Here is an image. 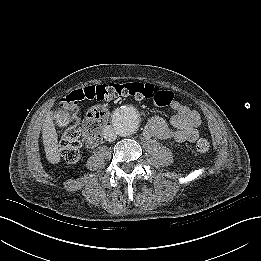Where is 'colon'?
<instances>
[{
    "mask_svg": "<svg viewBox=\"0 0 261 261\" xmlns=\"http://www.w3.org/2000/svg\"><path fill=\"white\" fill-rule=\"evenodd\" d=\"M133 97L135 99H153L159 106H167L173 99L172 93L160 90L150 83L124 82L107 83L89 86L69 94L62 103V108L72 116L66 127L60 144L62 158L70 164H75L80 159L82 127L74 116L77 105L85 99L96 101H110L120 97ZM108 118V111L103 105L93 106L85 119L84 140L89 146L96 145L100 140L101 129ZM210 143L207 138L200 137L196 148L200 152L208 151Z\"/></svg>",
    "mask_w": 261,
    "mask_h": 261,
    "instance_id": "obj_1",
    "label": "colon"
}]
</instances>
